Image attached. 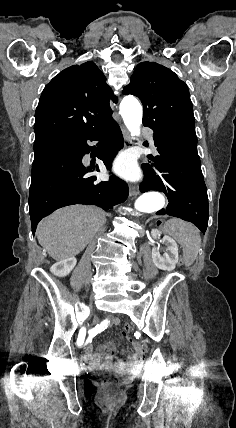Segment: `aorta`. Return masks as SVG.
Wrapping results in <instances>:
<instances>
[{
    "instance_id": "762f6f07",
    "label": "aorta",
    "mask_w": 236,
    "mask_h": 428,
    "mask_svg": "<svg viewBox=\"0 0 236 428\" xmlns=\"http://www.w3.org/2000/svg\"><path fill=\"white\" fill-rule=\"evenodd\" d=\"M120 114L125 126L132 136L140 135L143 109L138 100L133 96L123 98L120 103ZM165 205V198L159 192H146L135 202V208L145 213H153L161 210Z\"/></svg>"
}]
</instances>
